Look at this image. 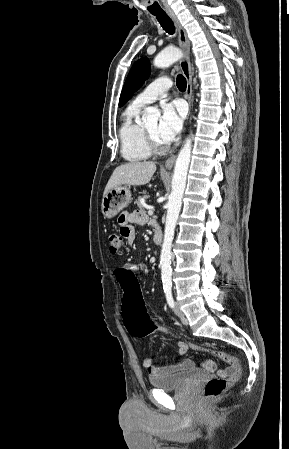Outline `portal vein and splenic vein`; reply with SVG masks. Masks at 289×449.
Instances as JSON below:
<instances>
[{
	"mask_svg": "<svg viewBox=\"0 0 289 449\" xmlns=\"http://www.w3.org/2000/svg\"><path fill=\"white\" fill-rule=\"evenodd\" d=\"M154 207H149L148 214L153 215Z\"/></svg>",
	"mask_w": 289,
	"mask_h": 449,
	"instance_id": "portal-vein-and-splenic-vein-1",
	"label": "portal vein and splenic vein"
}]
</instances>
